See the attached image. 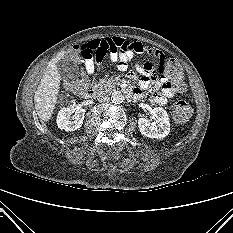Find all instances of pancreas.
Returning <instances> with one entry per match:
<instances>
[{
    "label": "pancreas",
    "mask_w": 233,
    "mask_h": 233,
    "mask_svg": "<svg viewBox=\"0 0 233 233\" xmlns=\"http://www.w3.org/2000/svg\"><path fill=\"white\" fill-rule=\"evenodd\" d=\"M116 83L112 78H105V79H100L96 84L95 88L99 90H105L108 91L112 88H115Z\"/></svg>",
    "instance_id": "1"
}]
</instances>
